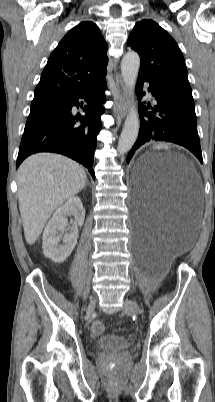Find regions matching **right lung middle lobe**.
<instances>
[{"label": "right lung middle lobe", "mask_w": 215, "mask_h": 402, "mask_svg": "<svg viewBox=\"0 0 215 402\" xmlns=\"http://www.w3.org/2000/svg\"><path fill=\"white\" fill-rule=\"evenodd\" d=\"M62 103V100L32 102L25 129L33 126L34 124L59 111L62 107Z\"/></svg>", "instance_id": "right-lung-middle-lobe-1"}]
</instances>
